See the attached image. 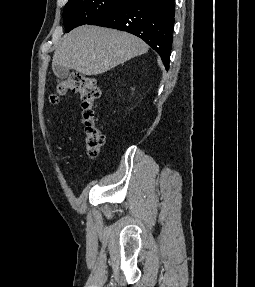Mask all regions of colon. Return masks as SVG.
<instances>
[{
	"instance_id": "colon-1",
	"label": "colon",
	"mask_w": 255,
	"mask_h": 287,
	"mask_svg": "<svg viewBox=\"0 0 255 287\" xmlns=\"http://www.w3.org/2000/svg\"><path fill=\"white\" fill-rule=\"evenodd\" d=\"M69 93L80 96L85 127L86 152L91 159H95L98 157L105 141L95 119V106L101 95L100 88L95 79L72 72L66 79L56 83L53 92L50 94V102L56 104Z\"/></svg>"
}]
</instances>
